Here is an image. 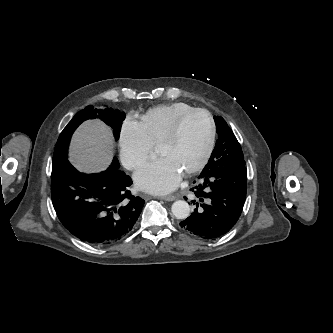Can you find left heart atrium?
<instances>
[{"label": "left heart atrium", "instance_id": "39dd6f15", "mask_svg": "<svg viewBox=\"0 0 333 333\" xmlns=\"http://www.w3.org/2000/svg\"><path fill=\"white\" fill-rule=\"evenodd\" d=\"M182 179V172L167 157H161L141 167L134 176L136 185L154 194L173 191Z\"/></svg>", "mask_w": 333, "mask_h": 333}]
</instances>
